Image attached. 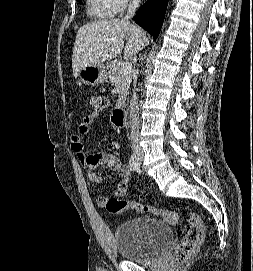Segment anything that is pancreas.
Masks as SVG:
<instances>
[{"label": "pancreas", "instance_id": "obj_1", "mask_svg": "<svg viewBox=\"0 0 253 271\" xmlns=\"http://www.w3.org/2000/svg\"><path fill=\"white\" fill-rule=\"evenodd\" d=\"M122 66L121 61H111L107 63V75L109 76L110 82L117 89L119 94L117 107H121L125 104L126 97L129 93V86L132 81L133 73L121 74L120 67Z\"/></svg>", "mask_w": 253, "mask_h": 271}]
</instances>
